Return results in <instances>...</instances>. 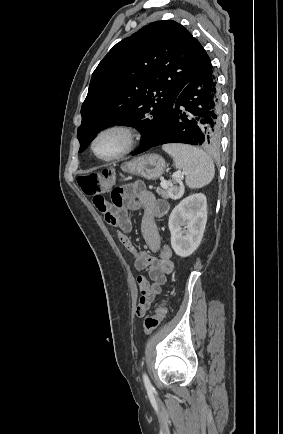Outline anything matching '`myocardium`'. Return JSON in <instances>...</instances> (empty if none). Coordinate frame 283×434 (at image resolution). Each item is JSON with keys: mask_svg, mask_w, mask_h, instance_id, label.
<instances>
[{"mask_svg": "<svg viewBox=\"0 0 283 434\" xmlns=\"http://www.w3.org/2000/svg\"><path fill=\"white\" fill-rule=\"evenodd\" d=\"M117 134L120 136L122 140V148L121 150L111 156H102L98 154L96 151V144L99 141L100 138H102L106 134ZM138 134L136 129L127 123H112L109 125H106L99 129L93 136L91 142H90V150L93 153V155L104 162H112L119 160L126 155H128L135 147L137 143Z\"/></svg>", "mask_w": 283, "mask_h": 434, "instance_id": "obj_1", "label": "myocardium"}]
</instances>
